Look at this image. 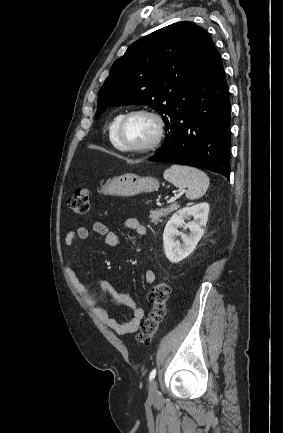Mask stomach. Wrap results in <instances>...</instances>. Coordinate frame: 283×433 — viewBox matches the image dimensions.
<instances>
[{"label":"stomach","mask_w":283,"mask_h":433,"mask_svg":"<svg viewBox=\"0 0 283 433\" xmlns=\"http://www.w3.org/2000/svg\"><path fill=\"white\" fill-rule=\"evenodd\" d=\"M159 180L152 176H138V174H121L109 178L106 184H102L100 192L103 194H117V196H134L139 192H153L158 190Z\"/></svg>","instance_id":"stomach-1"}]
</instances>
